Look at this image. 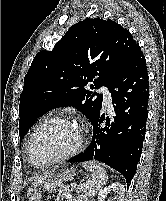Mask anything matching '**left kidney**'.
Here are the masks:
<instances>
[{"label":"left kidney","mask_w":166,"mask_h":201,"mask_svg":"<svg viewBox=\"0 0 166 201\" xmlns=\"http://www.w3.org/2000/svg\"><path fill=\"white\" fill-rule=\"evenodd\" d=\"M108 193H114L116 201H123L125 188L123 184L112 183L110 186L105 187L99 192L98 201H104Z\"/></svg>","instance_id":"5707ae66"}]
</instances>
